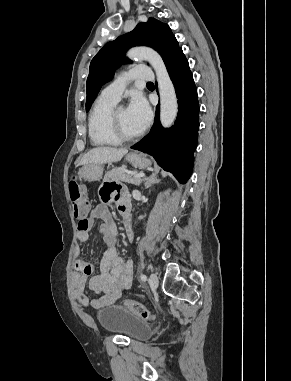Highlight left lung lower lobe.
<instances>
[{
	"instance_id": "left-lung-lower-lobe-1",
	"label": "left lung lower lobe",
	"mask_w": 291,
	"mask_h": 381,
	"mask_svg": "<svg viewBox=\"0 0 291 381\" xmlns=\"http://www.w3.org/2000/svg\"><path fill=\"white\" fill-rule=\"evenodd\" d=\"M178 98V115L174 125L163 128L156 108L152 130L131 148L154 157L166 171L185 184L193 168V153L197 147L199 129V103L196 86L188 61L182 49L166 64Z\"/></svg>"
}]
</instances>
